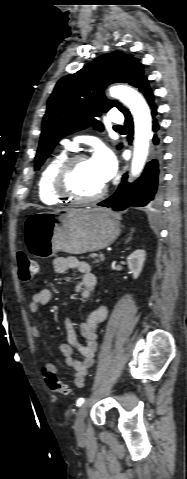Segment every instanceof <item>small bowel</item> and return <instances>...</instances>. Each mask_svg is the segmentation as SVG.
<instances>
[{
  "label": "small bowel",
  "instance_id": "c3829d8e",
  "mask_svg": "<svg viewBox=\"0 0 187 479\" xmlns=\"http://www.w3.org/2000/svg\"><path fill=\"white\" fill-rule=\"evenodd\" d=\"M53 266L57 273H65L71 269L77 270L80 274L75 288L77 295L84 299L91 297L97 281L89 263L76 257H58L54 259ZM52 295L50 289H41L35 292L28 304L29 312L31 314L39 313L40 308L51 301ZM107 313L105 306H98L80 325V334L85 340L84 343L79 341L74 322L70 318L65 320L66 342L60 343L58 349L64 356L66 366L72 371L74 384L78 388L84 387L88 371L94 364L98 349V329L106 319ZM31 335L34 339L41 337L39 326L31 327ZM75 352L79 353L82 359L74 358ZM46 373L54 375L57 373L56 366L49 361L45 362L41 370L43 377Z\"/></svg>",
  "mask_w": 187,
  "mask_h": 479
}]
</instances>
